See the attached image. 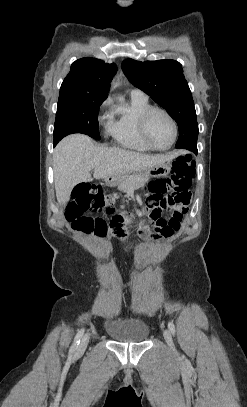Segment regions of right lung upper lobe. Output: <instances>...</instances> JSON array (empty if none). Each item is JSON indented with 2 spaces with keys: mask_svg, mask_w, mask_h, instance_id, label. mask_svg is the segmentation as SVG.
<instances>
[{
  "mask_svg": "<svg viewBox=\"0 0 247 407\" xmlns=\"http://www.w3.org/2000/svg\"><path fill=\"white\" fill-rule=\"evenodd\" d=\"M116 72V64H108L96 58H81L73 62L61 85L59 101L105 100Z\"/></svg>",
  "mask_w": 247,
  "mask_h": 407,
  "instance_id": "right-lung-upper-lobe-1",
  "label": "right lung upper lobe"
}]
</instances>
